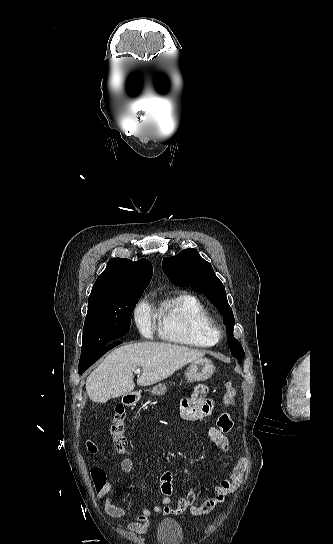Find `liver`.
Masks as SVG:
<instances>
[{"instance_id":"obj_1","label":"liver","mask_w":333,"mask_h":544,"mask_svg":"<svg viewBox=\"0 0 333 544\" xmlns=\"http://www.w3.org/2000/svg\"><path fill=\"white\" fill-rule=\"evenodd\" d=\"M204 352L181 345L140 342L111 351L88 376L87 395L93 402L105 403L111 397L132 392L133 371L142 367L139 386H149L171 376L184 365L203 358Z\"/></svg>"}]
</instances>
